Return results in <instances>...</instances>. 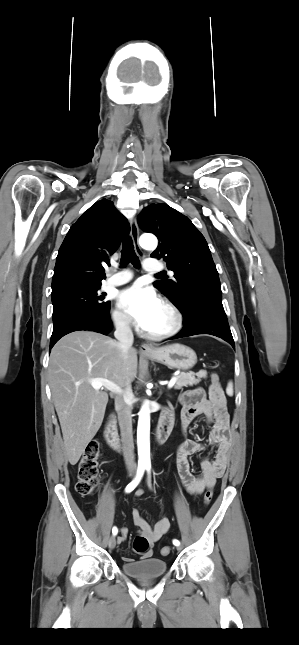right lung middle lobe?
I'll return each instance as SVG.
<instances>
[{
    "label": "right lung middle lobe",
    "mask_w": 299,
    "mask_h": 645,
    "mask_svg": "<svg viewBox=\"0 0 299 645\" xmlns=\"http://www.w3.org/2000/svg\"><path fill=\"white\" fill-rule=\"evenodd\" d=\"M100 286H70L52 293L54 329L82 315L108 314L110 302L103 301L104 294L98 293Z\"/></svg>",
    "instance_id": "obj_1"
}]
</instances>
